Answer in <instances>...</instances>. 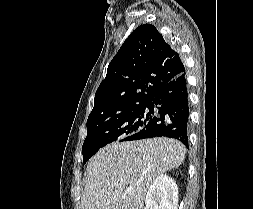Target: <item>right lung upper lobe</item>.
I'll list each match as a JSON object with an SVG mask.
<instances>
[{"mask_svg": "<svg viewBox=\"0 0 253 209\" xmlns=\"http://www.w3.org/2000/svg\"><path fill=\"white\" fill-rule=\"evenodd\" d=\"M184 72L180 55L158 30L150 24L140 25L110 62L88 119L150 103L167 83Z\"/></svg>", "mask_w": 253, "mask_h": 209, "instance_id": "obj_1", "label": "right lung upper lobe"}]
</instances>
